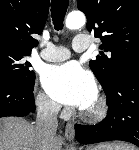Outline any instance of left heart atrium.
<instances>
[{"mask_svg": "<svg viewBox=\"0 0 139 150\" xmlns=\"http://www.w3.org/2000/svg\"><path fill=\"white\" fill-rule=\"evenodd\" d=\"M42 85L55 101L80 109L88 108L97 99L93 76L75 62L45 69Z\"/></svg>", "mask_w": 139, "mask_h": 150, "instance_id": "39dd6f15", "label": "left heart atrium"}]
</instances>
